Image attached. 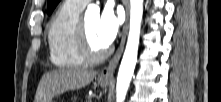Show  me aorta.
Here are the masks:
<instances>
[{"label":"aorta","instance_id":"aorta-1","mask_svg":"<svg viewBox=\"0 0 221 102\" xmlns=\"http://www.w3.org/2000/svg\"><path fill=\"white\" fill-rule=\"evenodd\" d=\"M98 12L99 7L95 4H90L86 10V16ZM142 15L143 0H130V28L126 48L117 76L116 102H124L134 73L138 55Z\"/></svg>","mask_w":221,"mask_h":102}]
</instances>
